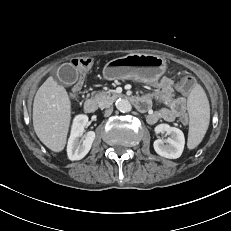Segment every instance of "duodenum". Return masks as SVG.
Here are the masks:
<instances>
[{
	"instance_id": "1",
	"label": "duodenum",
	"mask_w": 231,
	"mask_h": 231,
	"mask_svg": "<svg viewBox=\"0 0 231 231\" xmlns=\"http://www.w3.org/2000/svg\"><path fill=\"white\" fill-rule=\"evenodd\" d=\"M131 102L139 111H146L147 103L141 97L133 96L131 97ZM84 111L86 113H93L97 109V102L94 98L88 97L85 99L83 104Z\"/></svg>"
}]
</instances>
